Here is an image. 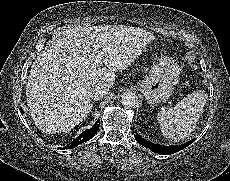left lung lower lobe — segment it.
Returning <instances> with one entry per match:
<instances>
[{
	"mask_svg": "<svg viewBox=\"0 0 230 181\" xmlns=\"http://www.w3.org/2000/svg\"><path fill=\"white\" fill-rule=\"evenodd\" d=\"M135 133H136V131H135ZM135 138L139 144L151 149L155 153H159V154H163V155H170V154L176 153V152L186 148L187 146H189L193 142V140H192V141H189L188 143L181 145V146H160V145H156L154 143H151L149 141L144 140L138 134L135 136Z\"/></svg>",
	"mask_w": 230,
	"mask_h": 181,
	"instance_id": "1",
	"label": "left lung lower lobe"
}]
</instances>
